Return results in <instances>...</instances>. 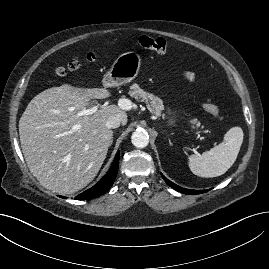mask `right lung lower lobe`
Wrapping results in <instances>:
<instances>
[{"instance_id":"right-lung-lower-lobe-1","label":"right lung lower lobe","mask_w":269,"mask_h":269,"mask_svg":"<svg viewBox=\"0 0 269 269\" xmlns=\"http://www.w3.org/2000/svg\"><path fill=\"white\" fill-rule=\"evenodd\" d=\"M119 155H120V153L118 151L109 171L107 172V174L93 187H91L90 189L79 194L76 197L77 200L93 199V198H96V197L104 194L105 192H107L110 189V187L112 186V184L116 178L117 172H118ZM60 197H62V196H60ZM62 198H65V197H62Z\"/></svg>"}]
</instances>
